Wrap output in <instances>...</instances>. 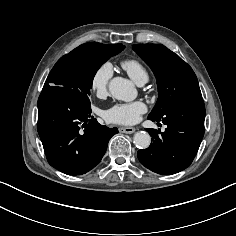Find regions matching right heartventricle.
<instances>
[{
    "label": "right heart ventricle",
    "instance_id": "obj_1",
    "mask_svg": "<svg viewBox=\"0 0 236 236\" xmlns=\"http://www.w3.org/2000/svg\"><path fill=\"white\" fill-rule=\"evenodd\" d=\"M123 69L137 83L148 80V72L146 68L137 60L127 59L121 63Z\"/></svg>",
    "mask_w": 236,
    "mask_h": 236
}]
</instances>
